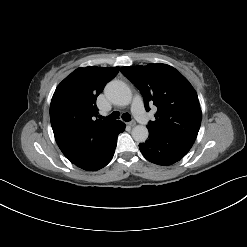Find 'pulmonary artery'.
<instances>
[{
    "label": "pulmonary artery",
    "instance_id": "pulmonary-artery-1",
    "mask_svg": "<svg viewBox=\"0 0 247 247\" xmlns=\"http://www.w3.org/2000/svg\"><path fill=\"white\" fill-rule=\"evenodd\" d=\"M132 111L135 118L142 124H146L150 120L149 114L144 110L142 97L137 95L133 100Z\"/></svg>",
    "mask_w": 247,
    "mask_h": 247
}]
</instances>
